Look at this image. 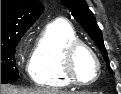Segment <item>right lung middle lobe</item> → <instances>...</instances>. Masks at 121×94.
Returning a JSON list of instances; mask_svg holds the SVG:
<instances>
[{"mask_svg":"<svg viewBox=\"0 0 121 94\" xmlns=\"http://www.w3.org/2000/svg\"><path fill=\"white\" fill-rule=\"evenodd\" d=\"M27 29L1 35V83H11L19 78L15 62V48Z\"/></svg>","mask_w":121,"mask_h":94,"instance_id":"right-lung-middle-lobe-1","label":"right lung middle lobe"}]
</instances>
